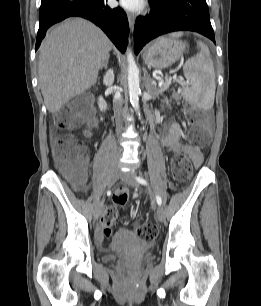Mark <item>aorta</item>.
<instances>
[{
	"label": "aorta",
	"mask_w": 261,
	"mask_h": 306,
	"mask_svg": "<svg viewBox=\"0 0 261 306\" xmlns=\"http://www.w3.org/2000/svg\"><path fill=\"white\" fill-rule=\"evenodd\" d=\"M127 62H128V89L129 97L132 106L139 110V69L136 65L134 56L129 48H127ZM139 116L140 113L138 112Z\"/></svg>",
	"instance_id": "obj_1"
}]
</instances>
